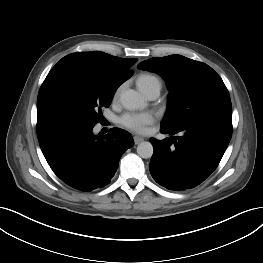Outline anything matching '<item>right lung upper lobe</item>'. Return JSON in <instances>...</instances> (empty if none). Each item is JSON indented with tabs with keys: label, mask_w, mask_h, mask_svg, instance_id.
I'll list each match as a JSON object with an SVG mask.
<instances>
[{
	"label": "right lung upper lobe",
	"mask_w": 263,
	"mask_h": 263,
	"mask_svg": "<svg viewBox=\"0 0 263 263\" xmlns=\"http://www.w3.org/2000/svg\"><path fill=\"white\" fill-rule=\"evenodd\" d=\"M135 58H120L100 51L73 53L62 58L58 63H80L91 67L114 72L126 78L133 74L129 68L136 63Z\"/></svg>",
	"instance_id": "cb5924a9"
}]
</instances>
